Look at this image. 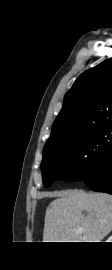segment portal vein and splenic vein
<instances>
[{
	"label": "portal vein and splenic vein",
	"instance_id": "18ae733b",
	"mask_svg": "<svg viewBox=\"0 0 112 270\" xmlns=\"http://www.w3.org/2000/svg\"><path fill=\"white\" fill-rule=\"evenodd\" d=\"M78 231L82 232V231H83V229H82V228H79V229H78Z\"/></svg>",
	"mask_w": 112,
	"mask_h": 270
}]
</instances>
